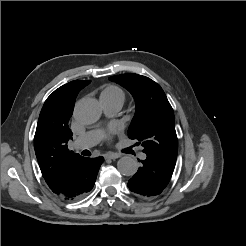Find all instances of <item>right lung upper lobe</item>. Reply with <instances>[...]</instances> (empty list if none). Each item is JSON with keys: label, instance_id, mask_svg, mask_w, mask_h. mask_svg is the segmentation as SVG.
<instances>
[{"label": "right lung upper lobe", "instance_id": "right-lung-upper-lobe-1", "mask_svg": "<svg viewBox=\"0 0 246 246\" xmlns=\"http://www.w3.org/2000/svg\"><path fill=\"white\" fill-rule=\"evenodd\" d=\"M90 80H74L56 89L41 110L34 148L41 173L50 188L61 180L64 173L82 156L67 147L72 139L68 126L75 99Z\"/></svg>", "mask_w": 246, "mask_h": 246}]
</instances>
